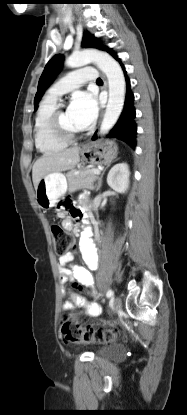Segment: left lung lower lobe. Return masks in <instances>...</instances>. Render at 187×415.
Here are the masks:
<instances>
[{
    "label": "left lung lower lobe",
    "instance_id": "obj_1",
    "mask_svg": "<svg viewBox=\"0 0 187 415\" xmlns=\"http://www.w3.org/2000/svg\"><path fill=\"white\" fill-rule=\"evenodd\" d=\"M105 51H107L116 60L119 61L124 71V75L126 79V96H125L123 111L119 119L117 120L116 124L112 127V129L109 131L106 137L117 138V139L123 140L126 143H128L132 148H135L137 127H136V124L134 123V118H135V109L133 107L134 95L130 88V80L126 74L124 66L122 65L117 55L109 48H106ZM92 139L93 140L96 139V134L93 136Z\"/></svg>",
    "mask_w": 187,
    "mask_h": 415
}]
</instances>
